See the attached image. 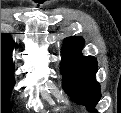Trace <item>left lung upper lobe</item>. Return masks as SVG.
Masks as SVG:
<instances>
[{"label": "left lung upper lobe", "mask_w": 121, "mask_h": 113, "mask_svg": "<svg viewBox=\"0 0 121 113\" xmlns=\"http://www.w3.org/2000/svg\"><path fill=\"white\" fill-rule=\"evenodd\" d=\"M82 47L81 37H68L64 41L61 62L63 88L76 103L86 105L95 113L94 107L101 97L99 83L95 80L98 65L94 57L81 55Z\"/></svg>", "instance_id": "1"}]
</instances>
